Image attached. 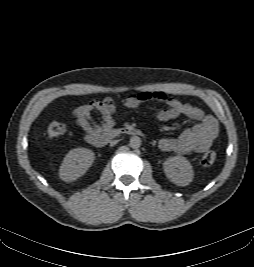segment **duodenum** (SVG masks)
<instances>
[{
    "mask_svg": "<svg viewBox=\"0 0 254 267\" xmlns=\"http://www.w3.org/2000/svg\"><path fill=\"white\" fill-rule=\"evenodd\" d=\"M120 134L140 135V131L133 127H126L121 130H109L99 134H91L87 136V142L95 147H103L107 142Z\"/></svg>",
    "mask_w": 254,
    "mask_h": 267,
    "instance_id": "1",
    "label": "duodenum"
}]
</instances>
